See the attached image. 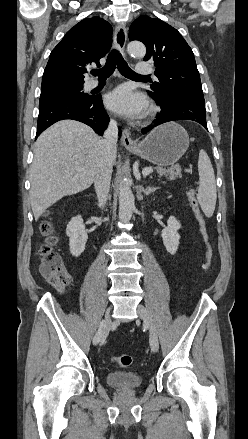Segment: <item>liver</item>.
I'll return each mask as SVG.
<instances>
[{"label":"liver","mask_w":248,"mask_h":439,"mask_svg":"<svg viewBox=\"0 0 248 439\" xmlns=\"http://www.w3.org/2000/svg\"><path fill=\"white\" fill-rule=\"evenodd\" d=\"M30 202L35 220L65 196L88 189L103 161L102 139L87 125L63 120L45 130L34 144ZM116 160L113 153L112 165Z\"/></svg>","instance_id":"liver-1"}]
</instances>
